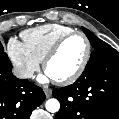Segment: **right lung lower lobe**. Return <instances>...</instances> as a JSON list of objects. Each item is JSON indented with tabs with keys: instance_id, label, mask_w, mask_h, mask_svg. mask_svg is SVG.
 Instances as JSON below:
<instances>
[{
	"instance_id": "right-lung-lower-lobe-1",
	"label": "right lung lower lobe",
	"mask_w": 119,
	"mask_h": 119,
	"mask_svg": "<svg viewBox=\"0 0 119 119\" xmlns=\"http://www.w3.org/2000/svg\"><path fill=\"white\" fill-rule=\"evenodd\" d=\"M44 100L40 87L17 79L12 69L0 68V119H29L31 112Z\"/></svg>"
}]
</instances>
